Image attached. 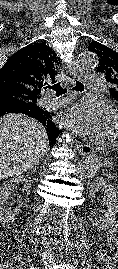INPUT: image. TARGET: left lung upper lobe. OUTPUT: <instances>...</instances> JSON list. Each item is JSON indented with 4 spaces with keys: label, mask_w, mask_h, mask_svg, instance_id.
Masks as SVG:
<instances>
[{
    "label": "left lung upper lobe",
    "mask_w": 118,
    "mask_h": 269,
    "mask_svg": "<svg viewBox=\"0 0 118 269\" xmlns=\"http://www.w3.org/2000/svg\"><path fill=\"white\" fill-rule=\"evenodd\" d=\"M88 51L97 54L99 58L97 72L103 73L106 81L113 84L109 92L118 100V53L96 41L89 44Z\"/></svg>",
    "instance_id": "5c2ea615"
}]
</instances>
